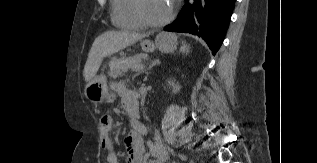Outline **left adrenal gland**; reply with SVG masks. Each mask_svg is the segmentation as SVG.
<instances>
[{"label": "left adrenal gland", "mask_w": 317, "mask_h": 163, "mask_svg": "<svg viewBox=\"0 0 317 163\" xmlns=\"http://www.w3.org/2000/svg\"><path fill=\"white\" fill-rule=\"evenodd\" d=\"M160 64L159 59H154V60H150L149 66L148 68L144 69L143 71L137 73L136 75H134L133 78H135L136 76L140 75L141 73H146L148 74V70H151L153 66Z\"/></svg>", "instance_id": "left-adrenal-gland-1"}]
</instances>
